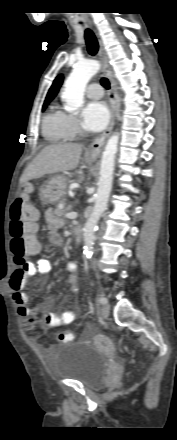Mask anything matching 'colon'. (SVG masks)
Wrapping results in <instances>:
<instances>
[{
  "instance_id": "1",
  "label": "colon",
  "mask_w": 177,
  "mask_h": 440,
  "mask_svg": "<svg viewBox=\"0 0 177 440\" xmlns=\"http://www.w3.org/2000/svg\"><path fill=\"white\" fill-rule=\"evenodd\" d=\"M30 188L27 186L13 201L10 208V235L11 251L15 262L19 266L27 263V258L34 255L38 249L36 236L38 212L29 203ZM33 319H30L32 325ZM43 338L41 335L38 337ZM73 335L69 331L59 334V340L63 343L71 342Z\"/></svg>"
}]
</instances>
